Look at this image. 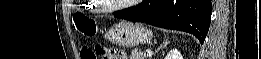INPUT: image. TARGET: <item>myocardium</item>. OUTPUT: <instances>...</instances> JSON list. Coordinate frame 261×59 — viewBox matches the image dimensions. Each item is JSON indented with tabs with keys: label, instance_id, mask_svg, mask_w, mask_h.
<instances>
[{
	"label": "myocardium",
	"instance_id": "f54148a6",
	"mask_svg": "<svg viewBox=\"0 0 261 59\" xmlns=\"http://www.w3.org/2000/svg\"><path fill=\"white\" fill-rule=\"evenodd\" d=\"M93 2L96 4L98 10L104 13H112V12L120 11L129 6V4H120L116 6H100L98 5V1H93Z\"/></svg>",
	"mask_w": 261,
	"mask_h": 59
}]
</instances>
